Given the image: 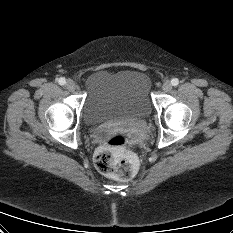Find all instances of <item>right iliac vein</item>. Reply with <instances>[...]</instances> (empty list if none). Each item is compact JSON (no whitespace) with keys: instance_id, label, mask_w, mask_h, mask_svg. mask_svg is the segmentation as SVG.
<instances>
[{"instance_id":"right-iliac-vein-1","label":"right iliac vein","mask_w":233,"mask_h":233,"mask_svg":"<svg viewBox=\"0 0 233 233\" xmlns=\"http://www.w3.org/2000/svg\"><path fill=\"white\" fill-rule=\"evenodd\" d=\"M66 88L69 90V91H74L76 89V84L73 80L71 79H68L67 82H66Z\"/></svg>"}]
</instances>
